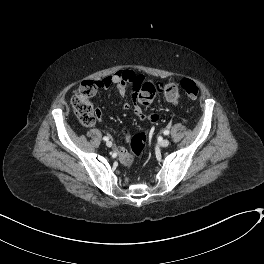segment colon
I'll return each instance as SVG.
<instances>
[{
    "mask_svg": "<svg viewBox=\"0 0 264 264\" xmlns=\"http://www.w3.org/2000/svg\"><path fill=\"white\" fill-rule=\"evenodd\" d=\"M96 87L97 84L93 81L81 82L74 89L71 98L74 113L85 127L94 126L100 117L99 110L94 108L90 101ZM180 87L189 99H196L199 95V87L193 79L183 78L180 82ZM180 87L173 82L160 85L157 82L145 81L137 94V100L143 105H149L159 93H163L168 100L177 101L181 95ZM144 148L145 137L143 135H135L130 143L129 160L138 159L142 155Z\"/></svg>",
    "mask_w": 264,
    "mask_h": 264,
    "instance_id": "1",
    "label": "colon"
}]
</instances>
